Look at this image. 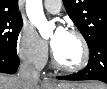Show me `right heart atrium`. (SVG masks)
Returning <instances> with one entry per match:
<instances>
[{"label": "right heart atrium", "mask_w": 107, "mask_h": 89, "mask_svg": "<svg viewBox=\"0 0 107 89\" xmlns=\"http://www.w3.org/2000/svg\"><path fill=\"white\" fill-rule=\"evenodd\" d=\"M16 50L23 61L35 68H41L47 62V44L32 26L25 25L21 28L16 40Z\"/></svg>", "instance_id": "right-heart-atrium-1"}]
</instances>
